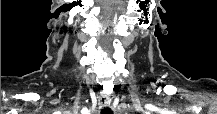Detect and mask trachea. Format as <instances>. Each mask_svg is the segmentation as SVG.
I'll return each instance as SVG.
<instances>
[{
	"label": "trachea",
	"mask_w": 217,
	"mask_h": 114,
	"mask_svg": "<svg viewBox=\"0 0 217 114\" xmlns=\"http://www.w3.org/2000/svg\"><path fill=\"white\" fill-rule=\"evenodd\" d=\"M102 114H112V111L110 108H103L101 111Z\"/></svg>",
	"instance_id": "trachea-1"
}]
</instances>
